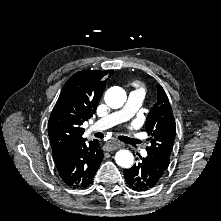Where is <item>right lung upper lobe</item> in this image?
Here are the masks:
<instances>
[{
	"label": "right lung upper lobe",
	"mask_w": 221,
	"mask_h": 221,
	"mask_svg": "<svg viewBox=\"0 0 221 221\" xmlns=\"http://www.w3.org/2000/svg\"><path fill=\"white\" fill-rule=\"evenodd\" d=\"M110 71L84 70L70 77L61 90L48 123L53 158L83 141L82 124L95 113Z\"/></svg>",
	"instance_id": "right-lung-upper-lobe-1"
}]
</instances>
